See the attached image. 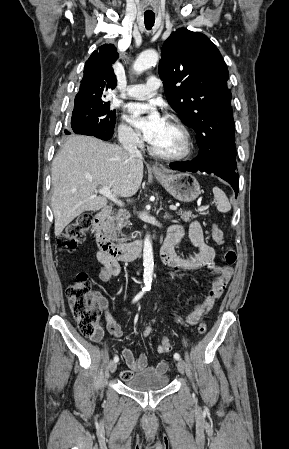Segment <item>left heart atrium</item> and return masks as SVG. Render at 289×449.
<instances>
[{
    "instance_id": "left-heart-atrium-1",
    "label": "left heart atrium",
    "mask_w": 289,
    "mask_h": 449,
    "mask_svg": "<svg viewBox=\"0 0 289 449\" xmlns=\"http://www.w3.org/2000/svg\"><path fill=\"white\" fill-rule=\"evenodd\" d=\"M128 121L151 143L164 125V118L154 104L132 103L127 107Z\"/></svg>"
}]
</instances>
